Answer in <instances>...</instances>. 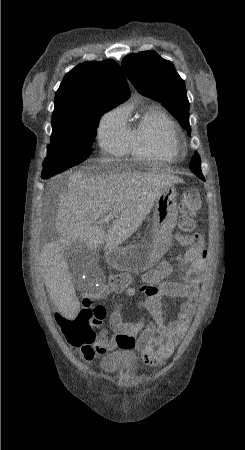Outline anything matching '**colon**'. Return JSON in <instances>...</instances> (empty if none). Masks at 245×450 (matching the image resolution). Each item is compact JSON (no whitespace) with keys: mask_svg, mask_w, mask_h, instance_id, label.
<instances>
[{"mask_svg":"<svg viewBox=\"0 0 245 450\" xmlns=\"http://www.w3.org/2000/svg\"><path fill=\"white\" fill-rule=\"evenodd\" d=\"M201 207L200 193L196 188L187 189L180 200L181 220L179 229L181 231L182 244L190 249L201 251L205 249L204 239L201 234L193 233V217ZM133 282L131 275L127 272L112 274L107 285L111 289H122ZM105 309L97 302L84 298L78 314L67 317L62 321L64 335L75 344L90 343L96 337L95 328L100 326L105 318ZM120 338L124 346H131L136 338V332L127 335L121 334Z\"/></svg>","mask_w":245,"mask_h":450,"instance_id":"colon-1","label":"colon"}]
</instances>
